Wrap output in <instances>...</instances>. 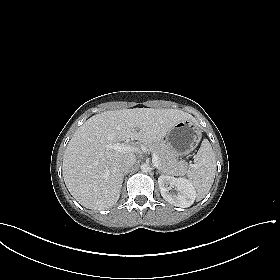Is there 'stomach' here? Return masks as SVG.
Returning <instances> with one entry per match:
<instances>
[{
    "instance_id": "obj_1",
    "label": "stomach",
    "mask_w": 280,
    "mask_h": 280,
    "mask_svg": "<svg viewBox=\"0 0 280 280\" xmlns=\"http://www.w3.org/2000/svg\"><path fill=\"white\" fill-rule=\"evenodd\" d=\"M200 128L191 120H183L175 124L166 134V142L178 155L192 152L201 140Z\"/></svg>"
}]
</instances>
